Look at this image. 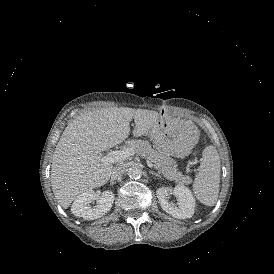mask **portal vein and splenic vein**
<instances>
[{"mask_svg": "<svg viewBox=\"0 0 274 274\" xmlns=\"http://www.w3.org/2000/svg\"><path fill=\"white\" fill-rule=\"evenodd\" d=\"M135 154L133 148H124L123 150L111 151L106 156L99 157V160L102 163H116L122 160L128 159V157L133 156ZM147 165L152 167L153 164L147 160Z\"/></svg>", "mask_w": 274, "mask_h": 274, "instance_id": "portal-vein-and-splenic-vein-1", "label": "portal vein and splenic vein"}]
</instances>
